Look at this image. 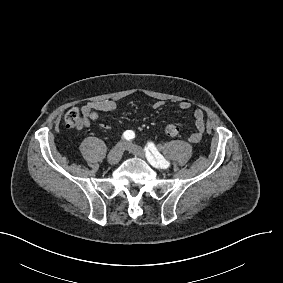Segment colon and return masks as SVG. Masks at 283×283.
I'll list each match as a JSON object with an SVG mask.
<instances>
[{"mask_svg":"<svg viewBox=\"0 0 283 283\" xmlns=\"http://www.w3.org/2000/svg\"><path fill=\"white\" fill-rule=\"evenodd\" d=\"M65 127L67 129L79 128L81 125L79 113L76 109H70L64 116ZM179 134V128L176 125H168L165 128V135L174 138Z\"/></svg>","mask_w":283,"mask_h":283,"instance_id":"colon-1","label":"colon"}]
</instances>
